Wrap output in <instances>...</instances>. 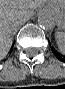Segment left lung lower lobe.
I'll return each mask as SVG.
<instances>
[{"label":"left lung lower lobe","instance_id":"left-lung-lower-lobe-1","mask_svg":"<svg viewBox=\"0 0 65 89\" xmlns=\"http://www.w3.org/2000/svg\"><path fill=\"white\" fill-rule=\"evenodd\" d=\"M52 52L54 53V55L61 61L65 62V58L60 57L52 48H51Z\"/></svg>","mask_w":65,"mask_h":89}]
</instances>
